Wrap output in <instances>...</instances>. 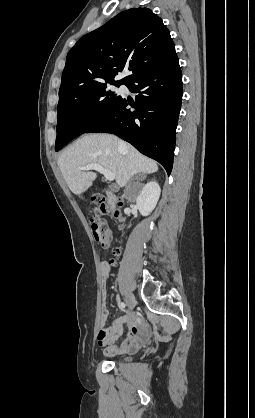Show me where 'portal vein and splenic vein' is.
I'll return each instance as SVG.
<instances>
[{
  "label": "portal vein and splenic vein",
  "instance_id": "obj_1",
  "mask_svg": "<svg viewBox=\"0 0 255 418\" xmlns=\"http://www.w3.org/2000/svg\"><path fill=\"white\" fill-rule=\"evenodd\" d=\"M81 170L87 171V170H96L104 175V177L109 180L113 181L115 179V174L107 169H105L103 166L97 163L88 164L85 166L80 167Z\"/></svg>",
  "mask_w": 255,
  "mask_h": 418
}]
</instances>
